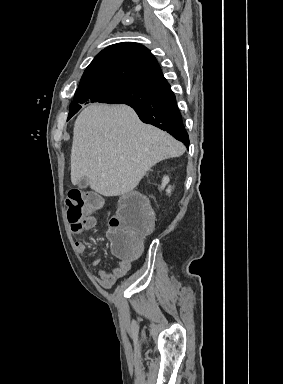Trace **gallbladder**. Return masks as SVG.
<instances>
[{"label":"gallbladder","instance_id":"obj_1","mask_svg":"<svg viewBox=\"0 0 283 384\" xmlns=\"http://www.w3.org/2000/svg\"><path fill=\"white\" fill-rule=\"evenodd\" d=\"M78 188H88V180H86V178L80 180V182H78Z\"/></svg>","mask_w":283,"mask_h":384}]
</instances>
